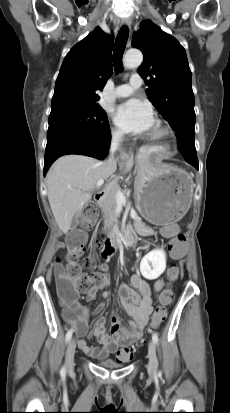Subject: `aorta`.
<instances>
[{
    "instance_id": "762f6f07",
    "label": "aorta",
    "mask_w": 230,
    "mask_h": 413,
    "mask_svg": "<svg viewBox=\"0 0 230 413\" xmlns=\"http://www.w3.org/2000/svg\"><path fill=\"white\" fill-rule=\"evenodd\" d=\"M143 61L142 53L137 49H130L124 56L123 64L126 68H135Z\"/></svg>"
}]
</instances>
